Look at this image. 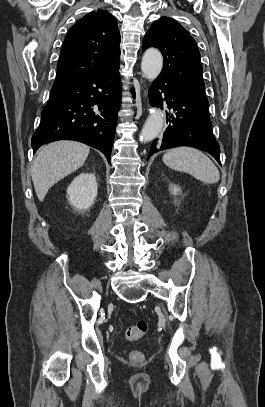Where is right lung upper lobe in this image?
<instances>
[{
  "label": "right lung upper lobe",
  "instance_id": "1",
  "mask_svg": "<svg viewBox=\"0 0 265 407\" xmlns=\"http://www.w3.org/2000/svg\"><path fill=\"white\" fill-rule=\"evenodd\" d=\"M120 33L107 11L91 12L74 24L64 40L53 87H66L119 64Z\"/></svg>",
  "mask_w": 265,
  "mask_h": 407
}]
</instances>
